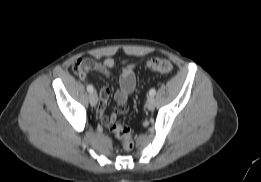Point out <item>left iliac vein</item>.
<instances>
[{
  "instance_id": "1",
  "label": "left iliac vein",
  "mask_w": 261,
  "mask_h": 182,
  "mask_svg": "<svg viewBox=\"0 0 261 182\" xmlns=\"http://www.w3.org/2000/svg\"><path fill=\"white\" fill-rule=\"evenodd\" d=\"M145 106L148 110H153L155 107V99L152 96L148 97Z\"/></svg>"
}]
</instances>
